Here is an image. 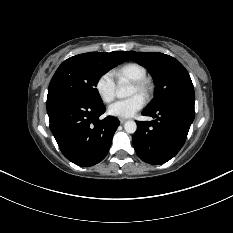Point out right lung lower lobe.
Segmentation results:
<instances>
[{
    "label": "right lung lower lobe",
    "mask_w": 233,
    "mask_h": 233,
    "mask_svg": "<svg viewBox=\"0 0 233 233\" xmlns=\"http://www.w3.org/2000/svg\"><path fill=\"white\" fill-rule=\"evenodd\" d=\"M105 110L69 98L47 100L50 129L68 160L89 167L106 157L119 121L112 116L99 120Z\"/></svg>",
    "instance_id": "1"
}]
</instances>
